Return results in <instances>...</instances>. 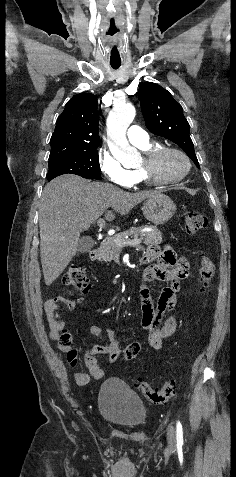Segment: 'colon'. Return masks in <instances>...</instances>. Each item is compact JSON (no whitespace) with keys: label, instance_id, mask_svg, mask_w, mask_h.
I'll list each match as a JSON object with an SVG mask.
<instances>
[{"label":"colon","instance_id":"5ec220e1","mask_svg":"<svg viewBox=\"0 0 236 477\" xmlns=\"http://www.w3.org/2000/svg\"><path fill=\"white\" fill-rule=\"evenodd\" d=\"M208 226V220L205 215L197 211H187L185 214V228L189 235H195ZM177 270L180 274L187 273V267L184 263H178ZM214 274V264L212 260L203 256L200 261L199 279L203 292H206L211 284ZM64 283L69 290L85 294L90 289V279L83 266L78 264L70 265L67 272L64 274ZM59 342L65 346L70 347L72 344L71 335L62 331L59 337ZM140 352L139 343H131L127 345L122 351V358L125 361H131L136 358ZM68 361L71 364L77 362V350L71 348L68 352ZM138 390L151 402L155 404H164L174 398L177 391V383L171 379L166 381L160 388L153 387L149 383L140 382L137 386Z\"/></svg>","mask_w":236,"mask_h":477}]
</instances>
